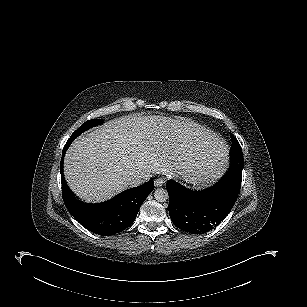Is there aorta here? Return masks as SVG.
<instances>
[{
  "instance_id": "aorta-1",
  "label": "aorta",
  "mask_w": 307,
  "mask_h": 307,
  "mask_svg": "<svg viewBox=\"0 0 307 307\" xmlns=\"http://www.w3.org/2000/svg\"><path fill=\"white\" fill-rule=\"evenodd\" d=\"M154 198L157 202H166L169 198L168 191L164 188H158L154 191Z\"/></svg>"
}]
</instances>
